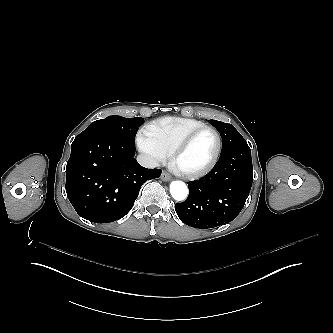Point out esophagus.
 <instances>
[{
	"label": "esophagus",
	"instance_id": "1",
	"mask_svg": "<svg viewBox=\"0 0 333 333\" xmlns=\"http://www.w3.org/2000/svg\"><path fill=\"white\" fill-rule=\"evenodd\" d=\"M161 180L163 181H170L172 179L171 175L165 171H162V174H161Z\"/></svg>",
	"mask_w": 333,
	"mask_h": 333
}]
</instances>
